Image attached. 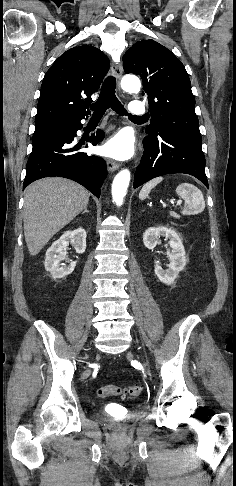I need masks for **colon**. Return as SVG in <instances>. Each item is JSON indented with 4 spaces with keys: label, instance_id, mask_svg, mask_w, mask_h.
Listing matches in <instances>:
<instances>
[{
    "label": "colon",
    "instance_id": "colon-1",
    "mask_svg": "<svg viewBox=\"0 0 236 486\" xmlns=\"http://www.w3.org/2000/svg\"><path fill=\"white\" fill-rule=\"evenodd\" d=\"M142 391V387L139 385H131L127 387L105 385L98 389L97 394L101 398L110 396H121L134 398L137 397Z\"/></svg>",
    "mask_w": 236,
    "mask_h": 486
}]
</instances>
